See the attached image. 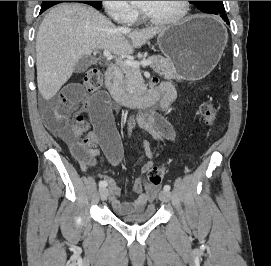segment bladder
I'll use <instances>...</instances> for the list:
<instances>
[{
	"label": "bladder",
	"mask_w": 271,
	"mask_h": 266,
	"mask_svg": "<svg viewBox=\"0 0 271 266\" xmlns=\"http://www.w3.org/2000/svg\"><path fill=\"white\" fill-rule=\"evenodd\" d=\"M155 215L154 207H149L147 210L139 212L135 215L122 216L116 215V217L125 223L140 224L151 220Z\"/></svg>",
	"instance_id": "bladder-1"
}]
</instances>
